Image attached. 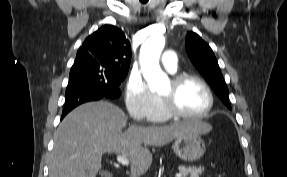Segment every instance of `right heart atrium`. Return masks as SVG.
Returning <instances> with one entry per match:
<instances>
[{"mask_svg":"<svg viewBox=\"0 0 287 177\" xmlns=\"http://www.w3.org/2000/svg\"><path fill=\"white\" fill-rule=\"evenodd\" d=\"M125 106L135 122L151 120L157 108V96L138 74L129 76L124 88Z\"/></svg>","mask_w":287,"mask_h":177,"instance_id":"1","label":"right heart atrium"}]
</instances>
